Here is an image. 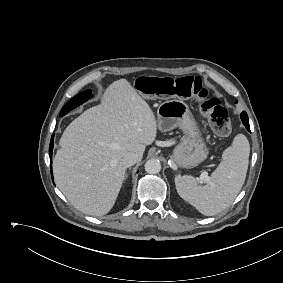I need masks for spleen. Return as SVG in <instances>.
<instances>
[{
	"mask_svg": "<svg viewBox=\"0 0 283 283\" xmlns=\"http://www.w3.org/2000/svg\"><path fill=\"white\" fill-rule=\"evenodd\" d=\"M249 153L250 146L246 136L236 135L232 145L224 150L221 163L206 185L199 186L192 176L176 175L178 194L205 216L223 211L232 204L244 184Z\"/></svg>",
	"mask_w": 283,
	"mask_h": 283,
	"instance_id": "3e777b00",
	"label": "spleen"
}]
</instances>
